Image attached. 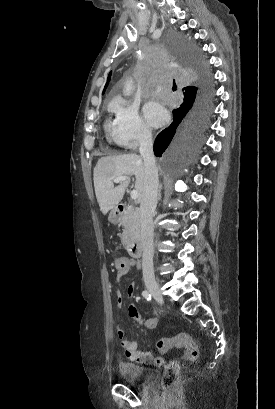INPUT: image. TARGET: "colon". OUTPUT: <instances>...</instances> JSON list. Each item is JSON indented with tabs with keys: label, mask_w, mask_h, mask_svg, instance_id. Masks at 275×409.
<instances>
[{
	"label": "colon",
	"mask_w": 275,
	"mask_h": 409,
	"mask_svg": "<svg viewBox=\"0 0 275 409\" xmlns=\"http://www.w3.org/2000/svg\"><path fill=\"white\" fill-rule=\"evenodd\" d=\"M116 268L120 274L125 272L127 268V263L123 256H116L114 259ZM157 347L160 349L161 353H168L169 350L173 348L184 349V358L188 361H194L198 358V347L196 342L186 333L178 332L171 338H165V340H159L157 342ZM180 376V365L176 361H171L168 363L164 370V375L162 377V385L164 387H169L175 384Z\"/></svg>",
	"instance_id": "colon-1"
}]
</instances>
